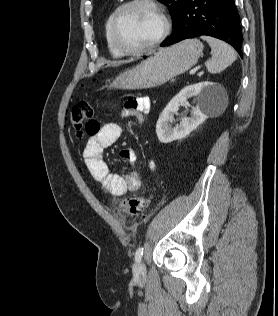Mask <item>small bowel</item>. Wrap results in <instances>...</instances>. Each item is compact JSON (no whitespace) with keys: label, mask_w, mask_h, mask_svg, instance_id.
Listing matches in <instances>:
<instances>
[{"label":"small bowel","mask_w":278,"mask_h":316,"mask_svg":"<svg viewBox=\"0 0 278 316\" xmlns=\"http://www.w3.org/2000/svg\"><path fill=\"white\" fill-rule=\"evenodd\" d=\"M150 110V100L147 97H138L128 101L123 109V117H135L139 123L144 120ZM123 128L116 123H107L99 126L98 131L91 135L83 150V161L89 173L99 184L101 190L106 195L120 197L128 192L137 191L141 186L140 171L133 167L136 161V154L133 149L125 148L120 152V156L128 162L132 168L126 175L111 173L104 160V150L114 144L122 135ZM148 168L155 171L153 160L148 161Z\"/></svg>","instance_id":"c3829d8e"}]
</instances>
